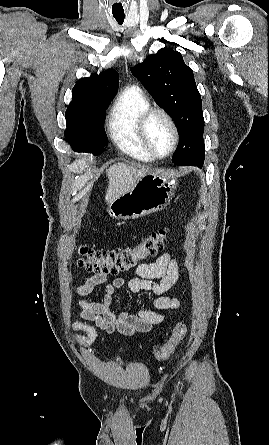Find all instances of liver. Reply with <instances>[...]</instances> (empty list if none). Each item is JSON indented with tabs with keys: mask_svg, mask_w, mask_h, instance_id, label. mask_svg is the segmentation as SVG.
Listing matches in <instances>:
<instances>
[{
	"mask_svg": "<svg viewBox=\"0 0 269 445\" xmlns=\"http://www.w3.org/2000/svg\"><path fill=\"white\" fill-rule=\"evenodd\" d=\"M149 171L150 170L148 167L142 165L129 166L124 163L112 165L106 171L109 180L105 195V201L107 204L130 191L139 178L144 176Z\"/></svg>",
	"mask_w": 269,
	"mask_h": 445,
	"instance_id": "obj_1",
	"label": "liver"
}]
</instances>
